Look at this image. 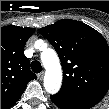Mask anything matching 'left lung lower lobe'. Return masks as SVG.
I'll return each instance as SVG.
<instances>
[{
  "label": "left lung lower lobe",
  "mask_w": 109,
  "mask_h": 109,
  "mask_svg": "<svg viewBox=\"0 0 109 109\" xmlns=\"http://www.w3.org/2000/svg\"><path fill=\"white\" fill-rule=\"evenodd\" d=\"M50 97L54 104L60 109H89L96 105L88 99L81 98L62 90Z\"/></svg>",
  "instance_id": "0a47b994"
}]
</instances>
